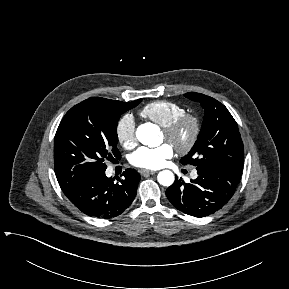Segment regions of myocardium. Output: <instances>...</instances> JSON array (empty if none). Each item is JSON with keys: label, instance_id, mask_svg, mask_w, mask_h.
I'll list each match as a JSON object with an SVG mask.
<instances>
[{"label": "myocardium", "instance_id": "f54148a6", "mask_svg": "<svg viewBox=\"0 0 289 289\" xmlns=\"http://www.w3.org/2000/svg\"><path fill=\"white\" fill-rule=\"evenodd\" d=\"M189 126L190 134L184 142H177L176 139L182 129ZM201 133L200 119L191 113H184L163 128V134L168 142H170L177 152L186 154L190 152L196 145Z\"/></svg>", "mask_w": 289, "mask_h": 289}]
</instances>
